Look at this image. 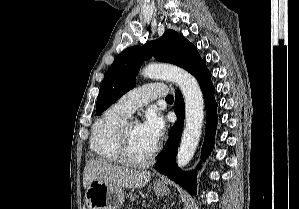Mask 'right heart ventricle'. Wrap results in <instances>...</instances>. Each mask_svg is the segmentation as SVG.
<instances>
[{
  "instance_id": "obj_1",
  "label": "right heart ventricle",
  "mask_w": 299,
  "mask_h": 209,
  "mask_svg": "<svg viewBox=\"0 0 299 209\" xmlns=\"http://www.w3.org/2000/svg\"><path fill=\"white\" fill-rule=\"evenodd\" d=\"M127 117L116 105H113L95 121L90 147L99 159L112 163H122L119 154V133L126 123Z\"/></svg>"
}]
</instances>
